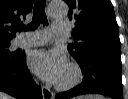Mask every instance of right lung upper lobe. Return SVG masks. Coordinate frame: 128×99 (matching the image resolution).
<instances>
[{
    "label": "right lung upper lobe",
    "instance_id": "1",
    "mask_svg": "<svg viewBox=\"0 0 128 99\" xmlns=\"http://www.w3.org/2000/svg\"><path fill=\"white\" fill-rule=\"evenodd\" d=\"M33 0H0V43L10 42L16 33V24L32 10Z\"/></svg>",
    "mask_w": 128,
    "mask_h": 99
}]
</instances>
